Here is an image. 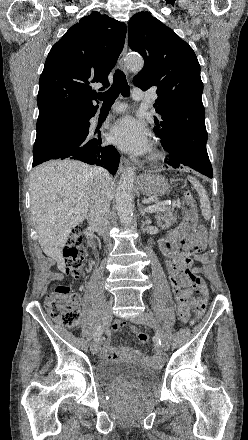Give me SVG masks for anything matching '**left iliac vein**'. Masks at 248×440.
I'll list each match as a JSON object with an SVG mask.
<instances>
[{"instance_id": "4c4485c4", "label": "left iliac vein", "mask_w": 248, "mask_h": 440, "mask_svg": "<svg viewBox=\"0 0 248 440\" xmlns=\"http://www.w3.org/2000/svg\"><path fill=\"white\" fill-rule=\"evenodd\" d=\"M130 320L134 323H137V324L148 325L153 328H156L157 333L161 339L162 349L164 351H167L169 349V341H168L166 335L157 327L156 322H155L154 317L151 312L147 311V312L140 313L137 316L131 317Z\"/></svg>"}]
</instances>
